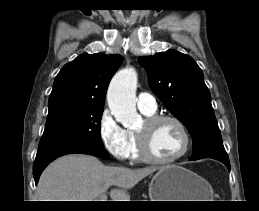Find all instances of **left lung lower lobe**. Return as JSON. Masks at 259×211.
Returning <instances> with one entry per match:
<instances>
[{"mask_svg": "<svg viewBox=\"0 0 259 211\" xmlns=\"http://www.w3.org/2000/svg\"><path fill=\"white\" fill-rule=\"evenodd\" d=\"M216 159L218 161H221L223 164L226 165V167L228 168V170H230V163H229V159H220V158H213Z\"/></svg>", "mask_w": 259, "mask_h": 211, "instance_id": "obj_1", "label": "left lung lower lobe"}]
</instances>
